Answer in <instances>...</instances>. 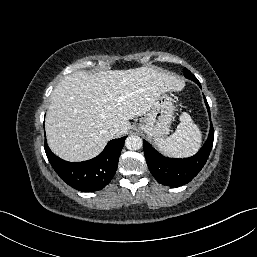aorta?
Segmentation results:
<instances>
[{"mask_svg": "<svg viewBox=\"0 0 257 257\" xmlns=\"http://www.w3.org/2000/svg\"><path fill=\"white\" fill-rule=\"evenodd\" d=\"M143 141L139 136L131 135L126 138L125 146L129 150H138L142 147Z\"/></svg>", "mask_w": 257, "mask_h": 257, "instance_id": "aorta-1", "label": "aorta"}]
</instances>
